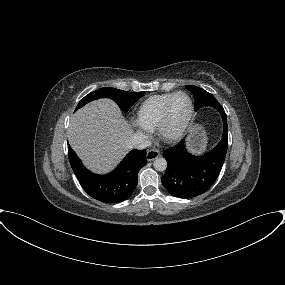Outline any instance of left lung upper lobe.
I'll list each match as a JSON object with an SVG mask.
<instances>
[{
  "label": "left lung upper lobe",
  "mask_w": 285,
  "mask_h": 285,
  "mask_svg": "<svg viewBox=\"0 0 285 285\" xmlns=\"http://www.w3.org/2000/svg\"><path fill=\"white\" fill-rule=\"evenodd\" d=\"M186 88L194 95L196 110L200 109L203 106H215L219 104V102L212 94L208 93L202 88H199L197 86H186Z\"/></svg>",
  "instance_id": "left-lung-upper-lobe-1"
}]
</instances>
